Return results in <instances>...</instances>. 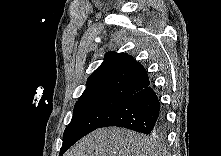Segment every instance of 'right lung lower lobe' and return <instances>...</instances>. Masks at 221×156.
Listing matches in <instances>:
<instances>
[{
  "instance_id": "98d812e1",
  "label": "right lung lower lobe",
  "mask_w": 221,
  "mask_h": 156,
  "mask_svg": "<svg viewBox=\"0 0 221 156\" xmlns=\"http://www.w3.org/2000/svg\"><path fill=\"white\" fill-rule=\"evenodd\" d=\"M165 122L156 93L151 87H146L121 103L99 128L118 126L144 134H160Z\"/></svg>"
}]
</instances>
